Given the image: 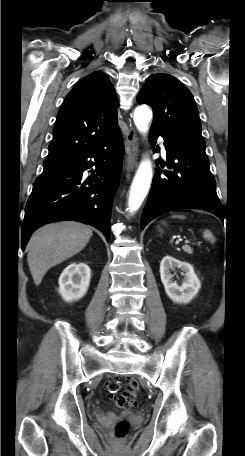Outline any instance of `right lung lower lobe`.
<instances>
[{
	"mask_svg": "<svg viewBox=\"0 0 245 456\" xmlns=\"http://www.w3.org/2000/svg\"><path fill=\"white\" fill-rule=\"evenodd\" d=\"M123 154L124 142L119 131L78 157L44 169L35 180L26 204L21 231L22 250L38 227L58 220L89 224L100 230L109 241L111 207ZM94 165L96 169L85 180L83 172Z\"/></svg>",
	"mask_w": 245,
	"mask_h": 456,
	"instance_id": "1",
	"label": "right lung lower lobe"
}]
</instances>
